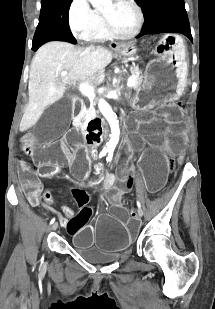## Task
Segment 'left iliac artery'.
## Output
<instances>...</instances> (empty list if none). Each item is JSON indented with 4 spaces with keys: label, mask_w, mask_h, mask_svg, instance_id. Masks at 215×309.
I'll list each match as a JSON object with an SVG mask.
<instances>
[{
    "label": "left iliac artery",
    "mask_w": 215,
    "mask_h": 309,
    "mask_svg": "<svg viewBox=\"0 0 215 309\" xmlns=\"http://www.w3.org/2000/svg\"><path fill=\"white\" fill-rule=\"evenodd\" d=\"M112 156H113V153H110L107 157V162H111L112 160ZM137 207H138V211L143 214V210H142V206H141V203L139 200H137Z\"/></svg>",
    "instance_id": "1"
}]
</instances>
